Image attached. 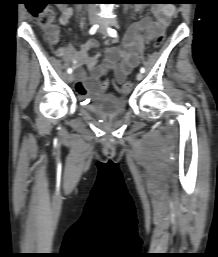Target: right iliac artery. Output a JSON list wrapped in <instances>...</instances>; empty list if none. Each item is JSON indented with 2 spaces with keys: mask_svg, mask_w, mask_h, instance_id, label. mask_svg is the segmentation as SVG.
Returning a JSON list of instances; mask_svg holds the SVG:
<instances>
[{
  "mask_svg": "<svg viewBox=\"0 0 218 257\" xmlns=\"http://www.w3.org/2000/svg\"><path fill=\"white\" fill-rule=\"evenodd\" d=\"M97 28H98V25L92 26V28L90 29L89 33H90L91 35L95 34L96 31H97ZM67 72H68L69 74H71V73H72V68H68Z\"/></svg>",
  "mask_w": 218,
  "mask_h": 257,
  "instance_id": "obj_1",
  "label": "right iliac artery"
}]
</instances>
